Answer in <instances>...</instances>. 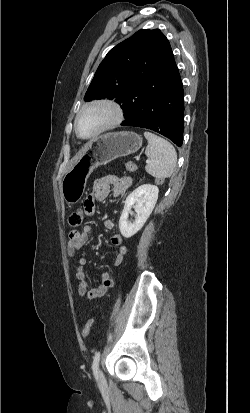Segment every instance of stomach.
<instances>
[{
    "label": "stomach",
    "instance_id": "0dacf381",
    "mask_svg": "<svg viewBox=\"0 0 250 413\" xmlns=\"http://www.w3.org/2000/svg\"><path fill=\"white\" fill-rule=\"evenodd\" d=\"M141 146V136L130 131L106 133L92 140L62 179L61 193L65 202L73 205L81 199L87 179L95 168L133 154Z\"/></svg>",
    "mask_w": 250,
    "mask_h": 413
}]
</instances>
